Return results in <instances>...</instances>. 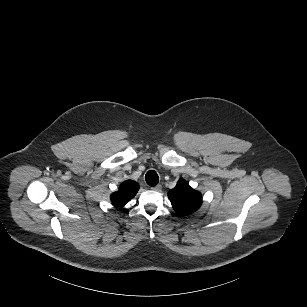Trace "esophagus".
I'll use <instances>...</instances> for the list:
<instances>
[{
    "mask_svg": "<svg viewBox=\"0 0 307 307\" xmlns=\"http://www.w3.org/2000/svg\"><path fill=\"white\" fill-rule=\"evenodd\" d=\"M151 189L154 190V191H161L162 185H161V184H158V185L152 187Z\"/></svg>",
    "mask_w": 307,
    "mask_h": 307,
    "instance_id": "obj_1",
    "label": "esophagus"
}]
</instances>
